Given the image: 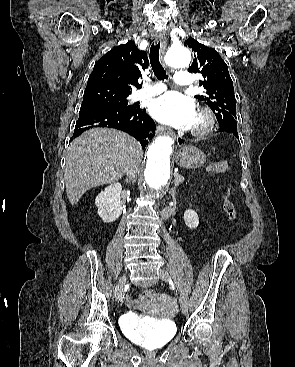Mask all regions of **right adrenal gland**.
<instances>
[{"instance_id":"obj_1","label":"right adrenal gland","mask_w":295,"mask_h":367,"mask_svg":"<svg viewBox=\"0 0 295 367\" xmlns=\"http://www.w3.org/2000/svg\"><path fill=\"white\" fill-rule=\"evenodd\" d=\"M135 181H136V179H132V180H130V179L126 178V182H127V183H132V184H134V183H135Z\"/></svg>"}]
</instances>
